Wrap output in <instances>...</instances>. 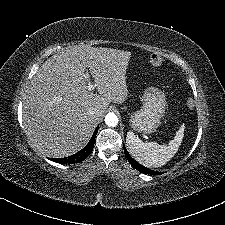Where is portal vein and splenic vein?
<instances>
[{
  "mask_svg": "<svg viewBox=\"0 0 225 225\" xmlns=\"http://www.w3.org/2000/svg\"><path fill=\"white\" fill-rule=\"evenodd\" d=\"M95 87H96L95 85L89 84V85L87 86V89H88L89 91H91V90H94Z\"/></svg>",
  "mask_w": 225,
  "mask_h": 225,
  "instance_id": "1",
  "label": "portal vein and splenic vein"
}]
</instances>
